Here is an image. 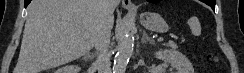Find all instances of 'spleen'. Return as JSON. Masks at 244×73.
<instances>
[{"instance_id": "spleen-1", "label": "spleen", "mask_w": 244, "mask_h": 73, "mask_svg": "<svg viewBox=\"0 0 244 73\" xmlns=\"http://www.w3.org/2000/svg\"><path fill=\"white\" fill-rule=\"evenodd\" d=\"M188 25L191 29V33L194 36H199L201 35V26H200V22L198 20L197 17L193 16L188 20Z\"/></svg>"}]
</instances>
